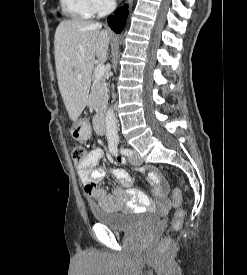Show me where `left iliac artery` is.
I'll use <instances>...</instances> for the list:
<instances>
[{"mask_svg":"<svg viewBox=\"0 0 247 275\" xmlns=\"http://www.w3.org/2000/svg\"><path fill=\"white\" fill-rule=\"evenodd\" d=\"M121 153L128 156V155H131V150H128V149H121Z\"/></svg>","mask_w":247,"mask_h":275,"instance_id":"obj_1","label":"left iliac artery"}]
</instances>
